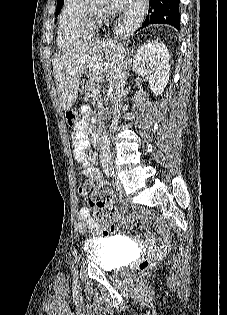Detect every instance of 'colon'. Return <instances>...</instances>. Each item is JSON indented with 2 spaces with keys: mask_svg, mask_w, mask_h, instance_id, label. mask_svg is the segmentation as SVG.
Wrapping results in <instances>:
<instances>
[{
  "mask_svg": "<svg viewBox=\"0 0 227 315\" xmlns=\"http://www.w3.org/2000/svg\"><path fill=\"white\" fill-rule=\"evenodd\" d=\"M65 119L68 126L73 127L77 124V113L74 110H68L65 114ZM81 193L84 197L87 198L90 207L94 210L95 217L100 219V226H107L103 230V235H108L113 232L114 227L111 224L113 207L112 203V194L101 188L93 187L90 191H86L85 188H81ZM152 268V260L149 258L142 259L137 263L133 268V277L139 278Z\"/></svg>",
  "mask_w": 227,
  "mask_h": 315,
  "instance_id": "obj_1",
  "label": "colon"
}]
</instances>
